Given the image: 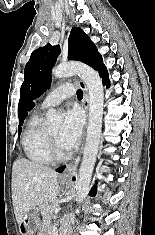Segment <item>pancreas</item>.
Returning <instances> with one entry per match:
<instances>
[{
    "instance_id": "obj_1",
    "label": "pancreas",
    "mask_w": 155,
    "mask_h": 235,
    "mask_svg": "<svg viewBox=\"0 0 155 235\" xmlns=\"http://www.w3.org/2000/svg\"><path fill=\"white\" fill-rule=\"evenodd\" d=\"M60 201L58 199H54L50 202V204L42 205V214L45 219L49 220L54 213V207L59 205Z\"/></svg>"
}]
</instances>
